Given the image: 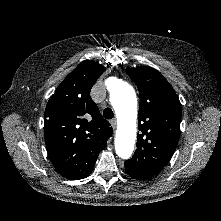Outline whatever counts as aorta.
Masks as SVG:
<instances>
[{
  "instance_id": "762f6f07",
  "label": "aorta",
  "mask_w": 221,
  "mask_h": 221,
  "mask_svg": "<svg viewBox=\"0 0 221 221\" xmlns=\"http://www.w3.org/2000/svg\"><path fill=\"white\" fill-rule=\"evenodd\" d=\"M110 101L118 117L122 119L115 138V150L119 157L127 159L133 152L136 138L137 99L135 91L128 83L120 82L111 91Z\"/></svg>"
}]
</instances>
